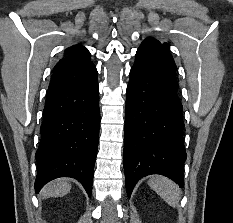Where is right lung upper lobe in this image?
<instances>
[{
  "mask_svg": "<svg viewBox=\"0 0 233 223\" xmlns=\"http://www.w3.org/2000/svg\"><path fill=\"white\" fill-rule=\"evenodd\" d=\"M66 57L61 59L53 72L82 67L91 63L89 51L82 45H73L65 50Z\"/></svg>",
  "mask_w": 233,
  "mask_h": 223,
  "instance_id": "cb5924a9",
  "label": "right lung upper lobe"
}]
</instances>
